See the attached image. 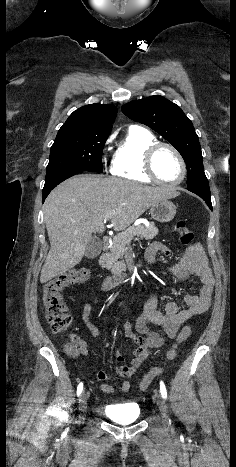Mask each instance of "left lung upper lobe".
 I'll return each mask as SVG.
<instances>
[{
  "label": "left lung upper lobe",
  "mask_w": 236,
  "mask_h": 467,
  "mask_svg": "<svg viewBox=\"0 0 236 467\" xmlns=\"http://www.w3.org/2000/svg\"><path fill=\"white\" fill-rule=\"evenodd\" d=\"M121 110L130 119L159 133L179 151L187 166L188 186L208 184L198 136L178 105L156 95L131 101Z\"/></svg>",
  "instance_id": "1"
}]
</instances>
